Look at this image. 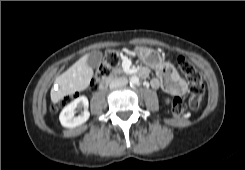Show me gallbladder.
I'll use <instances>...</instances> for the list:
<instances>
[{"label":"gallbladder","mask_w":245,"mask_h":170,"mask_svg":"<svg viewBox=\"0 0 245 170\" xmlns=\"http://www.w3.org/2000/svg\"><path fill=\"white\" fill-rule=\"evenodd\" d=\"M102 61V53L98 50L92 51L88 54L87 65L91 68H96Z\"/></svg>","instance_id":"gallbladder-1"}]
</instances>
